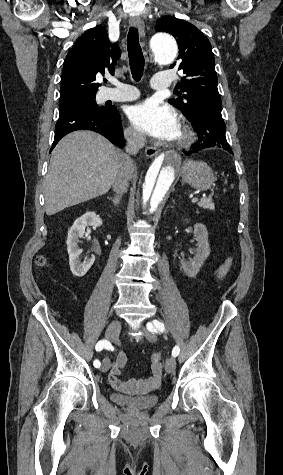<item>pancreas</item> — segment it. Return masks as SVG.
I'll return each mask as SVG.
<instances>
[{
  "instance_id": "pancreas-1",
  "label": "pancreas",
  "mask_w": 283,
  "mask_h": 475,
  "mask_svg": "<svg viewBox=\"0 0 283 475\" xmlns=\"http://www.w3.org/2000/svg\"><path fill=\"white\" fill-rule=\"evenodd\" d=\"M198 206H200V208H204V210H215V206L212 202V196H209V198H201L200 202H198Z\"/></svg>"
}]
</instances>
